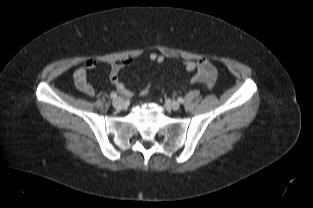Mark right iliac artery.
I'll return each mask as SVG.
<instances>
[{
  "instance_id": "obj_1",
  "label": "right iliac artery",
  "mask_w": 313,
  "mask_h": 208,
  "mask_svg": "<svg viewBox=\"0 0 313 208\" xmlns=\"http://www.w3.org/2000/svg\"><path fill=\"white\" fill-rule=\"evenodd\" d=\"M110 96H111V98L115 99V98H117V93L112 92V93L110 94Z\"/></svg>"
}]
</instances>
